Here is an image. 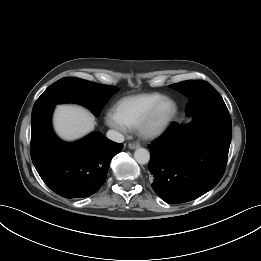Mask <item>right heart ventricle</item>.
Returning <instances> with one entry per match:
<instances>
[{"label":"right heart ventricle","instance_id":"right-heart-ventricle-1","mask_svg":"<svg viewBox=\"0 0 261 261\" xmlns=\"http://www.w3.org/2000/svg\"><path fill=\"white\" fill-rule=\"evenodd\" d=\"M162 97V94L156 92L127 96L116 102L114 110L130 128H133Z\"/></svg>","mask_w":261,"mask_h":261}]
</instances>
